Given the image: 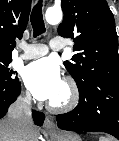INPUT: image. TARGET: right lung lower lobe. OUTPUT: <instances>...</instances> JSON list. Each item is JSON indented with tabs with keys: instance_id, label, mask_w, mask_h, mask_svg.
Returning a JSON list of instances; mask_svg holds the SVG:
<instances>
[{
	"instance_id": "1",
	"label": "right lung lower lobe",
	"mask_w": 119,
	"mask_h": 141,
	"mask_svg": "<svg viewBox=\"0 0 119 141\" xmlns=\"http://www.w3.org/2000/svg\"><path fill=\"white\" fill-rule=\"evenodd\" d=\"M21 90L19 80L8 87L0 85V118L5 116L9 106L16 100ZM35 124L41 126L44 121V114L33 111Z\"/></svg>"
}]
</instances>
